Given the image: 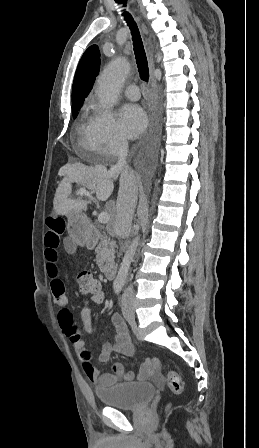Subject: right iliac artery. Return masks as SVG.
<instances>
[{"mask_svg":"<svg viewBox=\"0 0 259 448\" xmlns=\"http://www.w3.org/2000/svg\"><path fill=\"white\" fill-rule=\"evenodd\" d=\"M122 287H123V285L120 284V283L114 284V291H115V293L119 294L121 292V290H122Z\"/></svg>","mask_w":259,"mask_h":448,"instance_id":"82829eb1","label":"right iliac artery"}]
</instances>
